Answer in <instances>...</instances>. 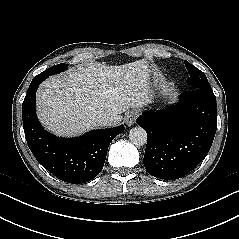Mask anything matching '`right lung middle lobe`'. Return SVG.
<instances>
[{"label":"right lung middle lobe","mask_w":239,"mask_h":239,"mask_svg":"<svg viewBox=\"0 0 239 239\" xmlns=\"http://www.w3.org/2000/svg\"><path fill=\"white\" fill-rule=\"evenodd\" d=\"M68 65L69 64H64V63L58 64V65L50 67L49 69H47L46 71H44L40 74L46 75V77H48V76H51L53 74H57V73L65 71L66 68L68 67Z\"/></svg>","instance_id":"1"}]
</instances>
